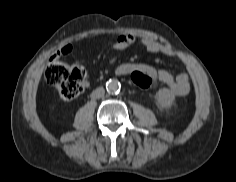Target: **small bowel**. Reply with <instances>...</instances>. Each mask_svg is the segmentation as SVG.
Listing matches in <instances>:
<instances>
[{
    "label": "small bowel",
    "instance_id": "1",
    "mask_svg": "<svg viewBox=\"0 0 236 182\" xmlns=\"http://www.w3.org/2000/svg\"><path fill=\"white\" fill-rule=\"evenodd\" d=\"M134 44H139L144 47L148 52L153 54H163L167 56H175V51L173 48L164 43L156 42L150 38L137 39L131 34H125L119 36L110 46V50L122 51ZM73 50L71 44L63 45L57 52L58 57H63L69 55ZM137 69L147 73L152 80H158L165 84L169 91L178 97L185 96L190 91V80L189 74L187 72L179 73L174 76L170 72L164 69H155L154 67L147 64H134L128 67V71ZM88 83L86 82V86Z\"/></svg>",
    "mask_w": 236,
    "mask_h": 182
}]
</instances>
